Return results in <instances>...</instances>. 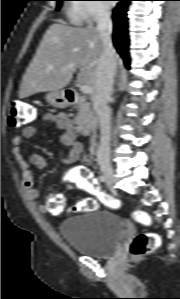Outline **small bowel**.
I'll use <instances>...</instances> for the list:
<instances>
[{
    "instance_id": "small-bowel-1",
    "label": "small bowel",
    "mask_w": 180,
    "mask_h": 299,
    "mask_svg": "<svg viewBox=\"0 0 180 299\" xmlns=\"http://www.w3.org/2000/svg\"><path fill=\"white\" fill-rule=\"evenodd\" d=\"M46 123L56 124L62 131L61 143L68 149L66 156L61 160L62 165L68 166L77 162L82 153L83 146L77 141V132L74 121L70 119L65 113H46L44 116ZM38 127L35 125L26 126L21 135H17L13 138V150L12 153L18 162L19 168L22 172V183L24 190L26 191L30 201L36 206L40 212H46L47 207L39 203L40 194L34 186V178L31 171V166H35L39 169H45L48 167L47 160L39 155L32 154L27 158L21 148V144L24 139L32 138L36 135ZM88 161V159H86ZM86 167L83 165L76 166L74 169L64 177L65 189L72 190L79 186V177L82 173H85Z\"/></svg>"
}]
</instances>
